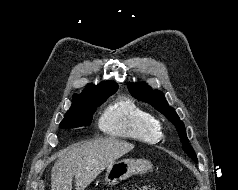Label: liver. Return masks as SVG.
<instances>
[{
	"instance_id": "obj_1",
	"label": "liver",
	"mask_w": 238,
	"mask_h": 190,
	"mask_svg": "<svg viewBox=\"0 0 238 190\" xmlns=\"http://www.w3.org/2000/svg\"><path fill=\"white\" fill-rule=\"evenodd\" d=\"M134 144L114 137L78 143L63 150L51 171V190H84L117 159L130 152Z\"/></svg>"
}]
</instances>
